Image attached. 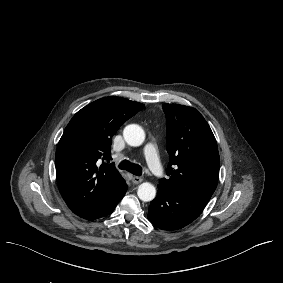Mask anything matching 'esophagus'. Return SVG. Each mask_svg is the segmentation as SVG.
<instances>
[{
	"mask_svg": "<svg viewBox=\"0 0 283 283\" xmlns=\"http://www.w3.org/2000/svg\"><path fill=\"white\" fill-rule=\"evenodd\" d=\"M132 183L133 184H139L142 182V178L141 177H138V176H134L132 179H131Z\"/></svg>",
	"mask_w": 283,
	"mask_h": 283,
	"instance_id": "34e87169",
	"label": "esophagus"
}]
</instances>
